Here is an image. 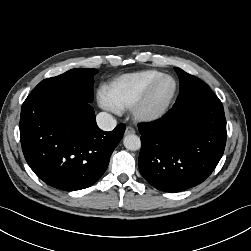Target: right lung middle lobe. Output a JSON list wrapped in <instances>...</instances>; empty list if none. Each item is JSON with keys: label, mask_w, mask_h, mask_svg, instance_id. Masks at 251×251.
<instances>
[{"label": "right lung middle lobe", "mask_w": 251, "mask_h": 251, "mask_svg": "<svg viewBox=\"0 0 251 251\" xmlns=\"http://www.w3.org/2000/svg\"><path fill=\"white\" fill-rule=\"evenodd\" d=\"M96 69H71L59 76L41 81L31 94H46L85 102L93 100Z\"/></svg>", "instance_id": "right-lung-middle-lobe-1"}]
</instances>
